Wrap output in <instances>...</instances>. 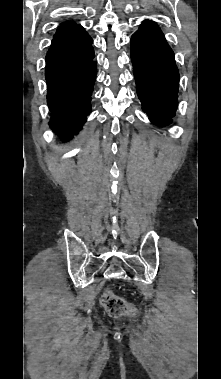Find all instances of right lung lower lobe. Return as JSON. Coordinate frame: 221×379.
I'll return each mask as SVG.
<instances>
[{
	"label": "right lung lower lobe",
	"mask_w": 221,
	"mask_h": 379,
	"mask_svg": "<svg viewBox=\"0 0 221 379\" xmlns=\"http://www.w3.org/2000/svg\"><path fill=\"white\" fill-rule=\"evenodd\" d=\"M92 42L85 29L77 25L55 36L46 56L49 124L65 139L81 129L91 112L97 73Z\"/></svg>",
	"instance_id": "98d812e1"
}]
</instances>
